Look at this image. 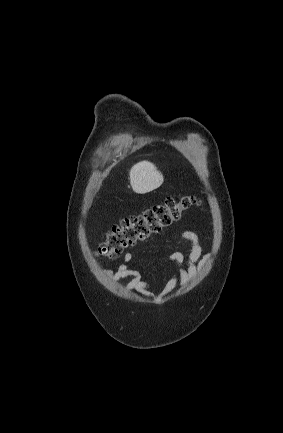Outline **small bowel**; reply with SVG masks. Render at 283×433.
I'll return each mask as SVG.
<instances>
[{
	"mask_svg": "<svg viewBox=\"0 0 283 433\" xmlns=\"http://www.w3.org/2000/svg\"><path fill=\"white\" fill-rule=\"evenodd\" d=\"M202 236L194 231H184L179 238L176 248L170 253L169 260L177 265V269L166 282L163 290L159 294L151 291L152 282L142 279L138 270L132 267L131 262L134 259L132 253H126L123 263L116 270L107 272V275L113 281H119L124 278H130L126 289L136 291L141 295L153 300H161L175 290L177 285L186 286L197 275L209 259V256L202 257ZM185 245L190 246V252L186 257L181 248Z\"/></svg>",
	"mask_w": 283,
	"mask_h": 433,
	"instance_id": "obj_1",
	"label": "small bowel"
}]
</instances>
